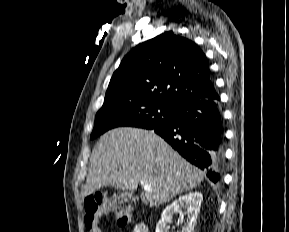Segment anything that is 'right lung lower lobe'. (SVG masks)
Returning a JSON list of instances; mask_svg holds the SVG:
<instances>
[{
    "label": "right lung lower lobe",
    "mask_w": 289,
    "mask_h": 232,
    "mask_svg": "<svg viewBox=\"0 0 289 232\" xmlns=\"http://www.w3.org/2000/svg\"><path fill=\"white\" fill-rule=\"evenodd\" d=\"M219 96L191 101L176 108L174 119L151 128L187 161L207 172L214 183L220 179L224 161L223 121Z\"/></svg>",
    "instance_id": "right-lung-lower-lobe-1"
}]
</instances>
